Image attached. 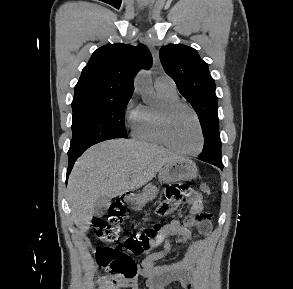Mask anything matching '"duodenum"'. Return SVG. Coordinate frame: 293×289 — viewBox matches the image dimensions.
<instances>
[{
	"mask_svg": "<svg viewBox=\"0 0 293 289\" xmlns=\"http://www.w3.org/2000/svg\"><path fill=\"white\" fill-rule=\"evenodd\" d=\"M133 199V196L131 195V193H126L124 196H123V200L125 203H131Z\"/></svg>",
	"mask_w": 293,
	"mask_h": 289,
	"instance_id": "obj_1",
	"label": "duodenum"
}]
</instances>
